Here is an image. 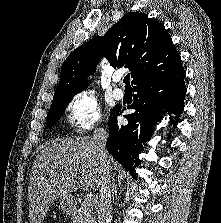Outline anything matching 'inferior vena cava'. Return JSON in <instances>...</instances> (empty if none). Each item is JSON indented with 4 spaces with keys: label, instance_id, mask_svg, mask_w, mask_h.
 <instances>
[{
    "label": "inferior vena cava",
    "instance_id": "602c4592",
    "mask_svg": "<svg viewBox=\"0 0 221 223\" xmlns=\"http://www.w3.org/2000/svg\"><path fill=\"white\" fill-rule=\"evenodd\" d=\"M108 132L105 128L99 127L94 131L93 142L100 161V180L98 197V221L108 223L111 217V177L107 161L106 141Z\"/></svg>",
    "mask_w": 221,
    "mask_h": 223
}]
</instances>
